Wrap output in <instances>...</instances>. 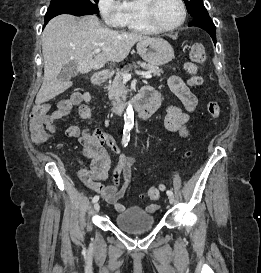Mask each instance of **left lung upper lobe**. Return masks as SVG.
Masks as SVG:
<instances>
[{"mask_svg": "<svg viewBox=\"0 0 261 273\" xmlns=\"http://www.w3.org/2000/svg\"><path fill=\"white\" fill-rule=\"evenodd\" d=\"M188 13L193 17H197L204 13H207L206 8L203 5L202 0H184Z\"/></svg>", "mask_w": 261, "mask_h": 273, "instance_id": "1", "label": "left lung upper lobe"}]
</instances>
